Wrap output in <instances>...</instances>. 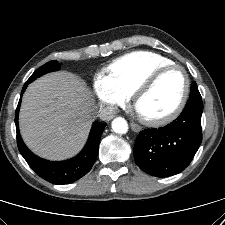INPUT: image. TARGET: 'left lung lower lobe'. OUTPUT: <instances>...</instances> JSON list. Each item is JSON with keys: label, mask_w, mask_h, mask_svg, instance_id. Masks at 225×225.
Returning <instances> with one entry per match:
<instances>
[{"label": "left lung lower lobe", "mask_w": 225, "mask_h": 225, "mask_svg": "<svg viewBox=\"0 0 225 225\" xmlns=\"http://www.w3.org/2000/svg\"><path fill=\"white\" fill-rule=\"evenodd\" d=\"M202 111L201 95L190 96L183 112L172 123L159 129L141 131L134 146L136 164L156 177L183 171L202 141Z\"/></svg>", "instance_id": "obj_1"}]
</instances>
